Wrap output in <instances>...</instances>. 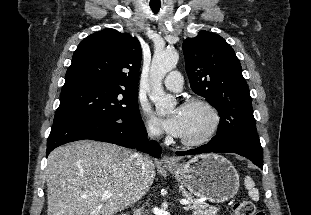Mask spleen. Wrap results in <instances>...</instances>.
Here are the masks:
<instances>
[{"mask_svg":"<svg viewBox=\"0 0 311 215\" xmlns=\"http://www.w3.org/2000/svg\"><path fill=\"white\" fill-rule=\"evenodd\" d=\"M244 185L246 189L248 190V194L252 198V200L258 201L259 192H258V189L255 188V183L250 176L245 177Z\"/></svg>","mask_w":311,"mask_h":215,"instance_id":"3e777b00","label":"spleen"}]
</instances>
